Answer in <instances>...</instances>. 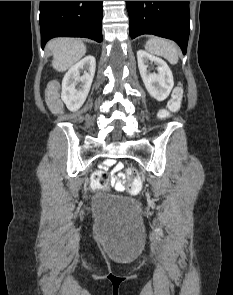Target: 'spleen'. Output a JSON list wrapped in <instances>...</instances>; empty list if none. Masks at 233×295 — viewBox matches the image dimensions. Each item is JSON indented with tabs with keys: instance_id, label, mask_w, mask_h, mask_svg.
<instances>
[{
	"instance_id": "obj_1",
	"label": "spleen",
	"mask_w": 233,
	"mask_h": 295,
	"mask_svg": "<svg viewBox=\"0 0 233 295\" xmlns=\"http://www.w3.org/2000/svg\"><path fill=\"white\" fill-rule=\"evenodd\" d=\"M145 49L152 54L164 57L171 64L178 62L177 46L164 38L153 37L149 39L145 45Z\"/></svg>"
}]
</instances>
